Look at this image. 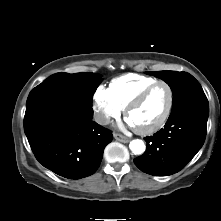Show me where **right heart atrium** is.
<instances>
[{
    "label": "right heart atrium",
    "mask_w": 221,
    "mask_h": 221,
    "mask_svg": "<svg viewBox=\"0 0 221 221\" xmlns=\"http://www.w3.org/2000/svg\"><path fill=\"white\" fill-rule=\"evenodd\" d=\"M93 111L96 121L106 125L121 115L122 109L114 100L109 88L99 85L93 94Z\"/></svg>",
    "instance_id": "obj_1"
}]
</instances>
